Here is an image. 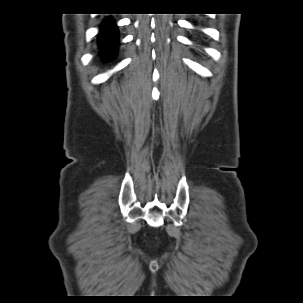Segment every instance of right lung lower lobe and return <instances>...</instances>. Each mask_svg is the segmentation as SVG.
<instances>
[{
  "label": "right lung lower lobe",
  "instance_id": "right-lung-lower-lobe-1",
  "mask_svg": "<svg viewBox=\"0 0 303 303\" xmlns=\"http://www.w3.org/2000/svg\"><path fill=\"white\" fill-rule=\"evenodd\" d=\"M119 44L117 27L111 18L102 22L98 37V46L103 58L112 57Z\"/></svg>",
  "mask_w": 303,
  "mask_h": 303
}]
</instances>
